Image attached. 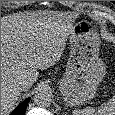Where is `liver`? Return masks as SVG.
<instances>
[{
    "label": "liver",
    "mask_w": 115,
    "mask_h": 115,
    "mask_svg": "<svg viewBox=\"0 0 115 115\" xmlns=\"http://www.w3.org/2000/svg\"><path fill=\"white\" fill-rule=\"evenodd\" d=\"M72 23L62 15L15 13L1 18V115L15 106L20 91H27L38 79V69L53 66L61 57Z\"/></svg>",
    "instance_id": "6515ba94"
}]
</instances>
